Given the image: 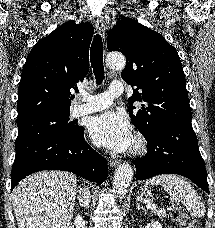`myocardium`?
<instances>
[{
	"label": "myocardium",
	"mask_w": 215,
	"mask_h": 228,
	"mask_svg": "<svg viewBox=\"0 0 215 228\" xmlns=\"http://www.w3.org/2000/svg\"><path fill=\"white\" fill-rule=\"evenodd\" d=\"M147 147L145 138L142 135H137L130 148V154L133 156L142 154Z\"/></svg>",
	"instance_id": "obj_1"
}]
</instances>
